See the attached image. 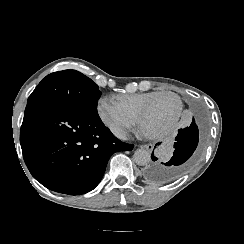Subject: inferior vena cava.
<instances>
[{
    "mask_svg": "<svg viewBox=\"0 0 244 244\" xmlns=\"http://www.w3.org/2000/svg\"><path fill=\"white\" fill-rule=\"evenodd\" d=\"M113 134L121 140H126V132L120 128L113 130Z\"/></svg>",
    "mask_w": 244,
    "mask_h": 244,
    "instance_id": "inferior-vena-cava-1",
    "label": "inferior vena cava"
}]
</instances>
